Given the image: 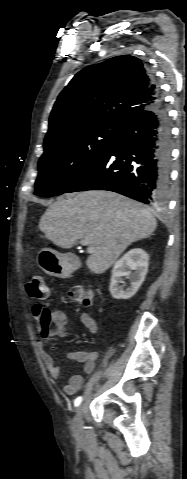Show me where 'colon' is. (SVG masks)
<instances>
[{"mask_svg":"<svg viewBox=\"0 0 187 479\" xmlns=\"http://www.w3.org/2000/svg\"><path fill=\"white\" fill-rule=\"evenodd\" d=\"M26 290L28 295L33 299H45L48 295V290L41 274H34L27 282ZM68 297L71 301L80 303L86 307L93 303V291L87 290L83 286H73L69 292ZM34 318L37 322V332L42 338H49L53 335L55 330V323L52 313L46 307L35 305L33 307Z\"/></svg>","mask_w":187,"mask_h":479,"instance_id":"1","label":"colon"}]
</instances>
